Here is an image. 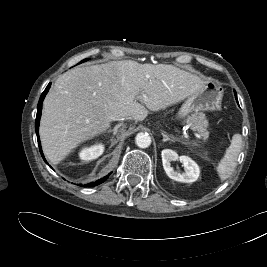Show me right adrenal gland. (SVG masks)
Returning <instances> with one entry per match:
<instances>
[{"mask_svg": "<svg viewBox=\"0 0 267 267\" xmlns=\"http://www.w3.org/2000/svg\"><path fill=\"white\" fill-rule=\"evenodd\" d=\"M121 126H124V124L123 123H119L113 129H109L107 132L108 133L113 132V135H116L118 128H120Z\"/></svg>", "mask_w": 267, "mask_h": 267, "instance_id": "obj_1", "label": "right adrenal gland"}]
</instances>
